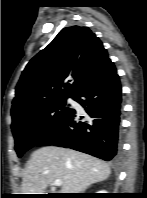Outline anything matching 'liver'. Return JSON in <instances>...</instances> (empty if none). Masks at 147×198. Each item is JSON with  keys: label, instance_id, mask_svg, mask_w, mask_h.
<instances>
[{"label": "liver", "instance_id": "liver-1", "mask_svg": "<svg viewBox=\"0 0 147 198\" xmlns=\"http://www.w3.org/2000/svg\"><path fill=\"white\" fill-rule=\"evenodd\" d=\"M110 174V165L98 158L72 149L45 146L31 155L23 174L22 194H44L57 179L63 181L61 193H80Z\"/></svg>", "mask_w": 147, "mask_h": 198}]
</instances>
